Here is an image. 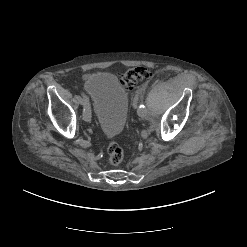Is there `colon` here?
Wrapping results in <instances>:
<instances>
[{"label":"colon","instance_id":"1","mask_svg":"<svg viewBox=\"0 0 247 247\" xmlns=\"http://www.w3.org/2000/svg\"><path fill=\"white\" fill-rule=\"evenodd\" d=\"M149 77L150 71L142 66L128 69L120 75L122 84L129 89L136 87ZM107 153L108 162L111 165H118L121 163L123 159V149L116 141L109 142Z\"/></svg>","mask_w":247,"mask_h":247}]
</instances>
